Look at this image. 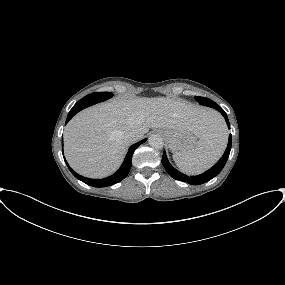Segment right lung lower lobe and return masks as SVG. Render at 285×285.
I'll return each mask as SVG.
<instances>
[{
    "label": "right lung lower lobe",
    "mask_w": 285,
    "mask_h": 285,
    "mask_svg": "<svg viewBox=\"0 0 285 285\" xmlns=\"http://www.w3.org/2000/svg\"><path fill=\"white\" fill-rule=\"evenodd\" d=\"M77 110H70L66 123L76 114ZM146 141V139L135 143L134 145H132L128 152L127 155L124 159V162L122 163L121 167L118 169V171L116 173H114L113 175L103 178V179H91V178H86L83 177L79 174H77L76 172H74L70 166L67 164L69 170L71 171V173L79 180H81L82 182L93 186V187H107V186H111L113 184H116L118 182H120L121 180H123L129 173L131 165H132V155L135 151V149L138 148V146L142 143H144ZM65 160V159H64Z\"/></svg>",
    "instance_id": "1"
}]
</instances>
